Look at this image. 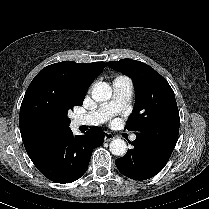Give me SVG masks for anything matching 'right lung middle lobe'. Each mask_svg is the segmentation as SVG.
Returning <instances> with one entry per match:
<instances>
[{"label":"right lung middle lobe","instance_id":"1","mask_svg":"<svg viewBox=\"0 0 209 209\" xmlns=\"http://www.w3.org/2000/svg\"><path fill=\"white\" fill-rule=\"evenodd\" d=\"M75 74L42 69L30 83L20 113L31 123L48 129H69L68 112L85 98Z\"/></svg>","mask_w":209,"mask_h":209}]
</instances>
